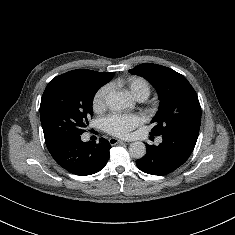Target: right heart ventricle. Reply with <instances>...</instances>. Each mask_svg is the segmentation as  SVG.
Returning <instances> with one entry per match:
<instances>
[{
  "mask_svg": "<svg viewBox=\"0 0 235 235\" xmlns=\"http://www.w3.org/2000/svg\"><path fill=\"white\" fill-rule=\"evenodd\" d=\"M112 85L126 88L138 100L146 99L151 91L149 83L139 76L118 79Z\"/></svg>",
  "mask_w": 235,
  "mask_h": 235,
  "instance_id": "1",
  "label": "right heart ventricle"
}]
</instances>
